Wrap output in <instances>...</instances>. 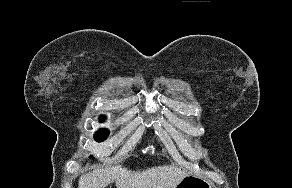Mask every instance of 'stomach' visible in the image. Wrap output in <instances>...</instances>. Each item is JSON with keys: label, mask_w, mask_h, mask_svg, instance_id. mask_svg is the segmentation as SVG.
Here are the masks:
<instances>
[{"label": "stomach", "mask_w": 292, "mask_h": 188, "mask_svg": "<svg viewBox=\"0 0 292 188\" xmlns=\"http://www.w3.org/2000/svg\"><path fill=\"white\" fill-rule=\"evenodd\" d=\"M175 188H212V183L200 176L187 175Z\"/></svg>", "instance_id": "obj_1"}]
</instances>
